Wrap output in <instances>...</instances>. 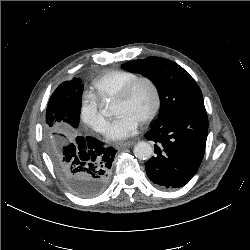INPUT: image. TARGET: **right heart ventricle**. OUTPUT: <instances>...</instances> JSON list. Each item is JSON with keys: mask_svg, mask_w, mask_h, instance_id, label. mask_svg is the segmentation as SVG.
Here are the masks:
<instances>
[{"mask_svg": "<svg viewBox=\"0 0 250 250\" xmlns=\"http://www.w3.org/2000/svg\"><path fill=\"white\" fill-rule=\"evenodd\" d=\"M136 77L137 74L126 70L108 71L93 81L89 94L98 102L115 99L122 88Z\"/></svg>", "mask_w": 250, "mask_h": 250, "instance_id": "e07e8e85", "label": "right heart ventricle"}]
</instances>
